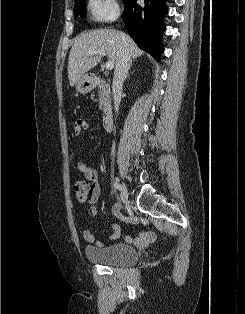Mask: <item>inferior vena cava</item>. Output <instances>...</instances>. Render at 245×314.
I'll list each match as a JSON object with an SVG mask.
<instances>
[{"label":"inferior vena cava","instance_id":"1","mask_svg":"<svg viewBox=\"0 0 245 314\" xmlns=\"http://www.w3.org/2000/svg\"><path fill=\"white\" fill-rule=\"evenodd\" d=\"M131 55L129 49L124 47L120 54V58L116 63L115 70H114V77H113V85L112 91L114 96V108L115 111L118 112L122 89H123V82L125 79L126 71L130 64Z\"/></svg>","mask_w":245,"mask_h":314}]
</instances>
